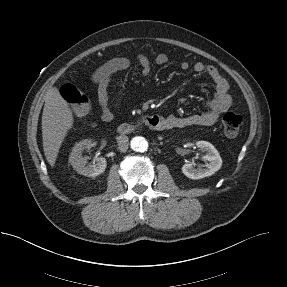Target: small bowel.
I'll use <instances>...</instances> for the list:
<instances>
[{"mask_svg":"<svg viewBox=\"0 0 287 287\" xmlns=\"http://www.w3.org/2000/svg\"><path fill=\"white\" fill-rule=\"evenodd\" d=\"M135 59L140 66L141 73L147 75L150 73L153 65L163 66L169 62L166 54H157L153 59H150L144 54H137ZM131 60L127 57L112 58L101 66H99L92 74V81L97 86L98 102L101 108V119L103 121H111L113 113L109 107V92L108 87L113 76L123 70L129 69ZM180 68L187 71L190 68L197 74H206L215 85L213 97L208 101V109L204 112L192 114L185 117L179 116H159L162 126L161 130L174 128H186L191 126H211L217 122L220 115L229 110L233 105V98L229 93V83L221 75L218 69L213 65H205L202 62H195L191 65L187 61L180 63Z\"/></svg>","mask_w":287,"mask_h":287,"instance_id":"c3829d8e","label":"small bowel"}]
</instances>
